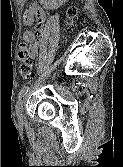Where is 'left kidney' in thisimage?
Wrapping results in <instances>:
<instances>
[{
  "instance_id": "5707ae66",
  "label": "left kidney",
  "mask_w": 123,
  "mask_h": 167,
  "mask_svg": "<svg viewBox=\"0 0 123 167\" xmlns=\"http://www.w3.org/2000/svg\"><path fill=\"white\" fill-rule=\"evenodd\" d=\"M65 1H66V0H58V2L54 4V7L61 5V4H62L63 2H65Z\"/></svg>"
}]
</instances>
